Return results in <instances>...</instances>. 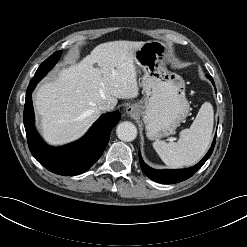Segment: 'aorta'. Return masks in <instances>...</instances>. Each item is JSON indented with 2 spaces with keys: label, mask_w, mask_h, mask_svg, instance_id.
<instances>
[{
  "label": "aorta",
  "mask_w": 247,
  "mask_h": 247,
  "mask_svg": "<svg viewBox=\"0 0 247 247\" xmlns=\"http://www.w3.org/2000/svg\"><path fill=\"white\" fill-rule=\"evenodd\" d=\"M116 134L122 141H133L137 136V128L132 122H121L116 128Z\"/></svg>",
  "instance_id": "obj_1"
}]
</instances>
